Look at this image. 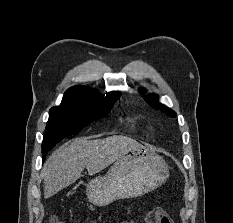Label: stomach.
I'll return each instance as SVG.
<instances>
[{"label":"stomach","instance_id":"0dacf381","mask_svg":"<svg viewBox=\"0 0 233 223\" xmlns=\"http://www.w3.org/2000/svg\"><path fill=\"white\" fill-rule=\"evenodd\" d=\"M169 175L164 159L139 143L120 155L105 175L90 179L86 187L88 201L93 205H109L116 199L140 197L157 189Z\"/></svg>","mask_w":233,"mask_h":223}]
</instances>
